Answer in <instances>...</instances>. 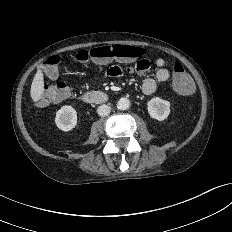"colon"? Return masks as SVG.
<instances>
[{"mask_svg": "<svg viewBox=\"0 0 232 232\" xmlns=\"http://www.w3.org/2000/svg\"><path fill=\"white\" fill-rule=\"evenodd\" d=\"M143 55L144 49L137 46L105 45L89 50H80L73 55L72 59L78 64H84L89 61L105 63L111 60L134 62ZM60 60L61 58L59 55H52L45 60L43 70L47 78L52 79L58 76V65ZM172 84L174 90L181 95H188L193 91L192 79L179 62L173 65ZM44 89L43 95L37 101L39 107H44L53 101L63 100L71 91L70 86L65 82H59L54 85L45 84Z\"/></svg>", "mask_w": 232, "mask_h": 232, "instance_id": "colon-1", "label": "colon"}]
</instances>
